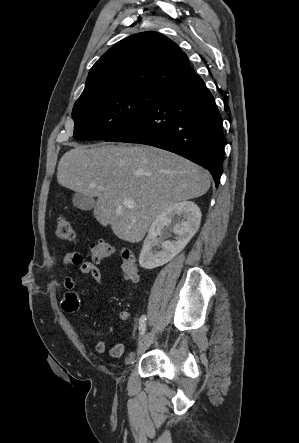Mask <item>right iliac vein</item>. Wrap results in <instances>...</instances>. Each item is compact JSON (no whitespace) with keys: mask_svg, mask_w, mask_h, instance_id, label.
Masks as SVG:
<instances>
[{"mask_svg":"<svg viewBox=\"0 0 299 443\" xmlns=\"http://www.w3.org/2000/svg\"><path fill=\"white\" fill-rule=\"evenodd\" d=\"M155 330L148 332L139 342L137 354L143 353L154 341Z\"/></svg>","mask_w":299,"mask_h":443,"instance_id":"right-iliac-vein-1","label":"right iliac vein"}]
</instances>
